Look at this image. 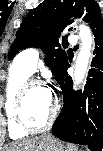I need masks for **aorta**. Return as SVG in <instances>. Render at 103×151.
Returning a JSON list of instances; mask_svg holds the SVG:
<instances>
[{"mask_svg": "<svg viewBox=\"0 0 103 151\" xmlns=\"http://www.w3.org/2000/svg\"><path fill=\"white\" fill-rule=\"evenodd\" d=\"M81 48L75 64V83L79 84L87 70L88 61L91 56L93 36L90 28L84 24L80 25Z\"/></svg>", "mask_w": 103, "mask_h": 151, "instance_id": "1", "label": "aorta"}]
</instances>
